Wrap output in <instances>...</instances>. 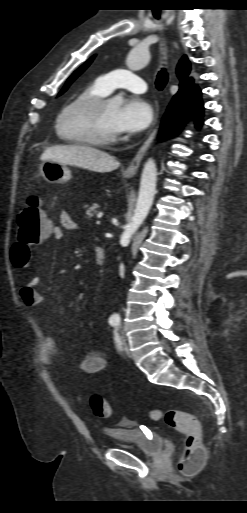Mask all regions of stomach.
<instances>
[{"label":"stomach","mask_w":247,"mask_h":513,"mask_svg":"<svg viewBox=\"0 0 247 513\" xmlns=\"http://www.w3.org/2000/svg\"><path fill=\"white\" fill-rule=\"evenodd\" d=\"M40 174L48 183L63 184L71 179V171L65 164L45 160L40 165Z\"/></svg>","instance_id":"obj_1"}]
</instances>
